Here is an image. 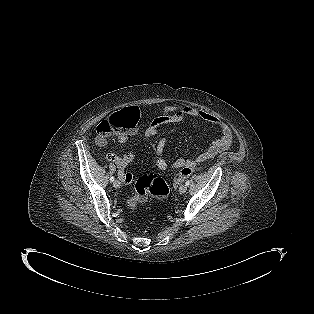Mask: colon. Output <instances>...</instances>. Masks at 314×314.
Segmentation results:
<instances>
[{"instance_id":"colon-1","label":"colon","mask_w":314,"mask_h":314,"mask_svg":"<svg viewBox=\"0 0 314 314\" xmlns=\"http://www.w3.org/2000/svg\"><path fill=\"white\" fill-rule=\"evenodd\" d=\"M139 121V111L135 106H128L102 121L98 126V138L107 139L111 134H127L137 128ZM195 166H186L174 177L173 184L178 186L182 180L189 177L194 171ZM169 194L167 183L153 173L143 174L135 184L134 194L126 200L127 207L134 210L139 203L147 201L150 197L160 200L165 199Z\"/></svg>"}]
</instances>
